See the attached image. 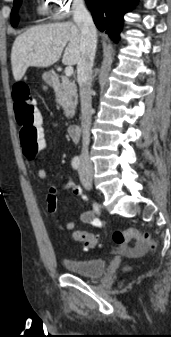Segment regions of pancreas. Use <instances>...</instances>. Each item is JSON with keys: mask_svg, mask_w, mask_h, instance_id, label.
<instances>
[{"mask_svg": "<svg viewBox=\"0 0 171 337\" xmlns=\"http://www.w3.org/2000/svg\"><path fill=\"white\" fill-rule=\"evenodd\" d=\"M56 101L63 107L65 116L72 118L77 106V89L73 81L67 77H61V84L55 89Z\"/></svg>", "mask_w": 171, "mask_h": 337, "instance_id": "cf45deb5", "label": "pancreas"}]
</instances>
